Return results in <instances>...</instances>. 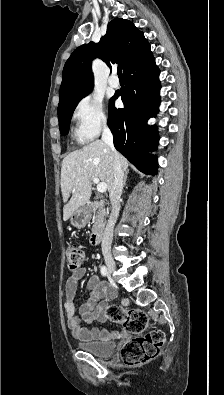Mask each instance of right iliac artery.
Instances as JSON below:
<instances>
[{"label": "right iliac artery", "instance_id": "obj_1", "mask_svg": "<svg viewBox=\"0 0 224 395\" xmlns=\"http://www.w3.org/2000/svg\"><path fill=\"white\" fill-rule=\"evenodd\" d=\"M101 274H102L104 277H107V276H108V271H107V268H106L105 266H102V267H101Z\"/></svg>", "mask_w": 224, "mask_h": 395}]
</instances>
